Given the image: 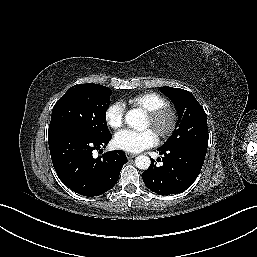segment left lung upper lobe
I'll use <instances>...</instances> for the list:
<instances>
[{
    "label": "left lung upper lobe",
    "mask_w": 257,
    "mask_h": 257,
    "mask_svg": "<svg viewBox=\"0 0 257 257\" xmlns=\"http://www.w3.org/2000/svg\"><path fill=\"white\" fill-rule=\"evenodd\" d=\"M161 91L174 103L179 118L170 139L160 148L194 147L207 151L209 134L203 107L189 91L172 87H161Z\"/></svg>",
    "instance_id": "obj_1"
}]
</instances>
